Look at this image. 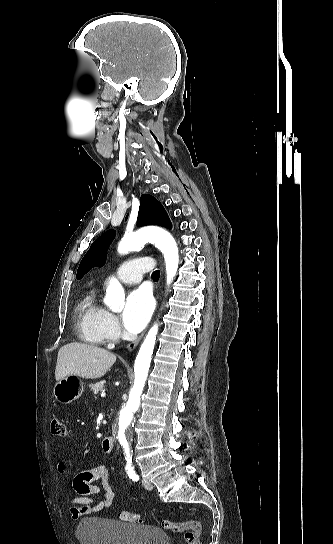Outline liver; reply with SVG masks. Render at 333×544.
<instances>
[{"label": "liver", "instance_id": "liver-1", "mask_svg": "<svg viewBox=\"0 0 333 544\" xmlns=\"http://www.w3.org/2000/svg\"><path fill=\"white\" fill-rule=\"evenodd\" d=\"M115 361L116 356L106 349L86 343H68L58 351L55 377L57 381L69 375L100 378Z\"/></svg>", "mask_w": 333, "mask_h": 544}]
</instances>
